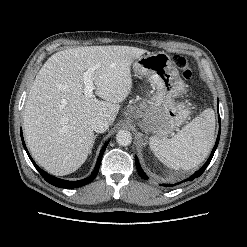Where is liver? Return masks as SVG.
Listing matches in <instances>:
<instances>
[{"label": "liver", "instance_id": "obj_1", "mask_svg": "<svg viewBox=\"0 0 247 247\" xmlns=\"http://www.w3.org/2000/svg\"><path fill=\"white\" fill-rule=\"evenodd\" d=\"M146 52L129 46H87L59 51L42 66L26 100L23 129L31 155L46 171L67 175L91 153L95 117L116 119L132 89L131 64ZM93 66L95 93L84 94L83 73Z\"/></svg>", "mask_w": 247, "mask_h": 247}]
</instances>
